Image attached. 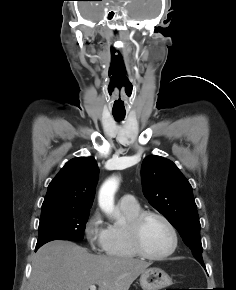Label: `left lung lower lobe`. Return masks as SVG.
Segmentation results:
<instances>
[{
  "instance_id": "1",
  "label": "left lung lower lobe",
  "mask_w": 236,
  "mask_h": 290,
  "mask_svg": "<svg viewBox=\"0 0 236 290\" xmlns=\"http://www.w3.org/2000/svg\"><path fill=\"white\" fill-rule=\"evenodd\" d=\"M200 264H201L203 267H205L203 263H200Z\"/></svg>"
}]
</instances>
